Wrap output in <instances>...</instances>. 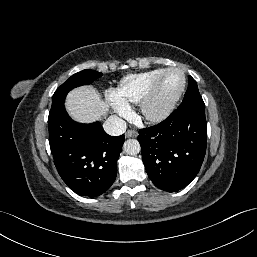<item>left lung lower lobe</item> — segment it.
Instances as JSON below:
<instances>
[{
    "mask_svg": "<svg viewBox=\"0 0 257 257\" xmlns=\"http://www.w3.org/2000/svg\"><path fill=\"white\" fill-rule=\"evenodd\" d=\"M142 160L158 188L175 192L198 174L207 145L205 109L178 108L161 123L139 130Z\"/></svg>",
    "mask_w": 257,
    "mask_h": 257,
    "instance_id": "0a47b994",
    "label": "left lung lower lobe"
}]
</instances>
